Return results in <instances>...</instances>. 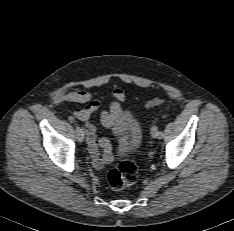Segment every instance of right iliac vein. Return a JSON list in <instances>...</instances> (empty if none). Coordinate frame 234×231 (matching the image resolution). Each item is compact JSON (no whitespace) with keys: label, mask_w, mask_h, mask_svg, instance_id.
<instances>
[{"label":"right iliac vein","mask_w":234,"mask_h":231,"mask_svg":"<svg viewBox=\"0 0 234 231\" xmlns=\"http://www.w3.org/2000/svg\"><path fill=\"white\" fill-rule=\"evenodd\" d=\"M77 140H78V142H83V140H84V134H82V135H77Z\"/></svg>","instance_id":"63e3f726"}]
</instances>
